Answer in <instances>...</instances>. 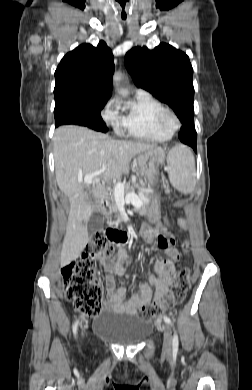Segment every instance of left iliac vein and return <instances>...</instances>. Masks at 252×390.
I'll list each match as a JSON object with an SVG mask.
<instances>
[{
  "mask_svg": "<svg viewBox=\"0 0 252 390\" xmlns=\"http://www.w3.org/2000/svg\"><path fill=\"white\" fill-rule=\"evenodd\" d=\"M162 329L164 334L163 350L166 353H170L173 341L172 329L167 323L162 325Z\"/></svg>",
  "mask_w": 252,
  "mask_h": 390,
  "instance_id": "obj_1",
  "label": "left iliac vein"
}]
</instances>
